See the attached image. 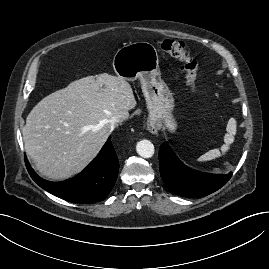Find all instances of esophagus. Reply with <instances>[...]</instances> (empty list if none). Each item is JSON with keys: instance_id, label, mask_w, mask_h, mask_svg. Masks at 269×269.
Masks as SVG:
<instances>
[{"instance_id": "1", "label": "esophagus", "mask_w": 269, "mask_h": 269, "mask_svg": "<svg viewBox=\"0 0 269 269\" xmlns=\"http://www.w3.org/2000/svg\"><path fill=\"white\" fill-rule=\"evenodd\" d=\"M147 129L150 133L155 134L158 132V125L155 120L150 119L147 123Z\"/></svg>"}]
</instances>
